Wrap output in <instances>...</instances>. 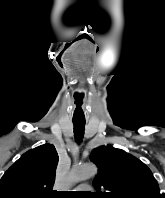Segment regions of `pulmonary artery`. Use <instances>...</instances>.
Masks as SVG:
<instances>
[{
	"label": "pulmonary artery",
	"instance_id": "obj_1",
	"mask_svg": "<svg viewBox=\"0 0 165 198\" xmlns=\"http://www.w3.org/2000/svg\"><path fill=\"white\" fill-rule=\"evenodd\" d=\"M86 189H88L87 185H80L77 187V190H86Z\"/></svg>",
	"mask_w": 165,
	"mask_h": 198
}]
</instances>
